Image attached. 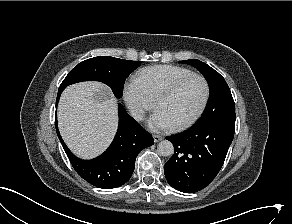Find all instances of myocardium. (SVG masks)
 I'll use <instances>...</instances> for the list:
<instances>
[{
  "label": "myocardium",
  "instance_id": "myocardium-1",
  "mask_svg": "<svg viewBox=\"0 0 292 224\" xmlns=\"http://www.w3.org/2000/svg\"><path fill=\"white\" fill-rule=\"evenodd\" d=\"M193 79H198L200 80L203 85H204V98L203 101L199 107V109L197 110V112L187 121L172 126V129L174 131H182L185 130L187 128H189L190 126H192L205 112L209 100H210V95H211V89H210V85L208 80L200 75V74H191L188 76H185L177 81H175L174 83H172L170 86H168L167 88H165L163 91H161L159 93V95L157 96V98L155 99V107L158 108V105L165 99H168L170 97H172L174 94H176L185 84H187L189 81L193 80Z\"/></svg>",
  "mask_w": 292,
  "mask_h": 224
}]
</instances>
